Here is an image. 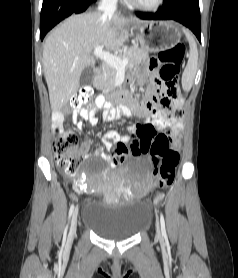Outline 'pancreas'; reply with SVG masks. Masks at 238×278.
Wrapping results in <instances>:
<instances>
[{"label": "pancreas", "mask_w": 238, "mask_h": 278, "mask_svg": "<svg viewBox=\"0 0 238 278\" xmlns=\"http://www.w3.org/2000/svg\"><path fill=\"white\" fill-rule=\"evenodd\" d=\"M121 59H128L127 69H132L134 66L147 59L148 51L144 48L136 46L130 47L126 52L119 53ZM117 69L104 63L102 73L94 81V86L102 90L103 93H108L115 88Z\"/></svg>", "instance_id": "1"}]
</instances>
